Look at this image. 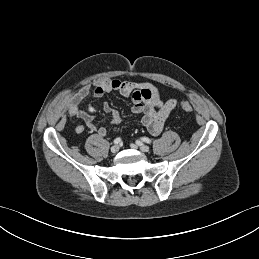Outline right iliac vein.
Listing matches in <instances>:
<instances>
[{"label":"right iliac vein","mask_w":259,"mask_h":259,"mask_svg":"<svg viewBox=\"0 0 259 259\" xmlns=\"http://www.w3.org/2000/svg\"><path fill=\"white\" fill-rule=\"evenodd\" d=\"M118 151H119V146H118V145H114V146L111 147V152H112V153L115 154V153H117Z\"/></svg>","instance_id":"right-iliac-vein-1"}]
</instances>
